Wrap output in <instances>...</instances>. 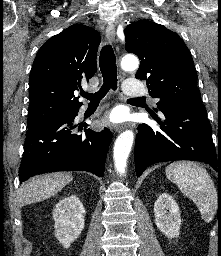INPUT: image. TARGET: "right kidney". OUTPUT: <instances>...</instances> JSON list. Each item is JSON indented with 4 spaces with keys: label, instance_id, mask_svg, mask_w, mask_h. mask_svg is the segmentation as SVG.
I'll use <instances>...</instances> for the list:
<instances>
[{
    "label": "right kidney",
    "instance_id": "obj_1",
    "mask_svg": "<svg viewBox=\"0 0 221 256\" xmlns=\"http://www.w3.org/2000/svg\"><path fill=\"white\" fill-rule=\"evenodd\" d=\"M85 209L75 195L61 199L53 212L55 236L63 247H70L84 229Z\"/></svg>",
    "mask_w": 221,
    "mask_h": 256
}]
</instances>
